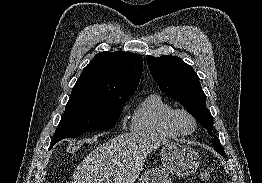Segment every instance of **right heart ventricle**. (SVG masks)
<instances>
[{
  "label": "right heart ventricle",
  "instance_id": "obj_1",
  "mask_svg": "<svg viewBox=\"0 0 262 183\" xmlns=\"http://www.w3.org/2000/svg\"><path fill=\"white\" fill-rule=\"evenodd\" d=\"M174 107L162 96L151 94L135 109L131 129L135 133L165 139H178L182 135L170 124L169 118Z\"/></svg>",
  "mask_w": 262,
  "mask_h": 183
}]
</instances>
